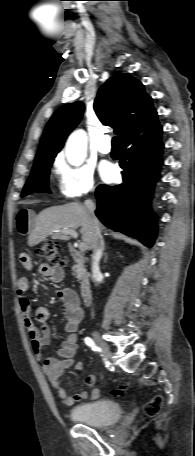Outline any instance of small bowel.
Returning <instances> with one entry per match:
<instances>
[{"label": "small bowel", "mask_w": 195, "mask_h": 456, "mask_svg": "<svg viewBox=\"0 0 195 456\" xmlns=\"http://www.w3.org/2000/svg\"><path fill=\"white\" fill-rule=\"evenodd\" d=\"M32 214L29 210H21L16 219L17 229L21 234H28L31 227ZM21 265L28 271L36 270L40 275L47 277L55 283H59L64 278L62 266H52L46 263L34 265L32 258L27 253L19 256ZM30 289V281L27 277H21L17 281V293L19 304L23 315L24 325L31 341L32 350L38 359L42 358V349L51 341V328L47 323L48 310L45 307L33 308L30 300L25 296ZM57 297L62 303V310L66 319L65 331L66 339L61 343L58 350V357H49L42 360L41 366L47 376L51 387L57 392L59 399L66 406L84 400H95L99 398V390L93 389L90 393L82 391L69 395L61 384L60 377L66 369L74 365V357L78 350L77 331L83 319V310L77 293L70 288L57 291ZM35 321L41 323L38 327ZM80 370L82 365L76 364ZM96 383L95 375H87L85 384L94 386Z\"/></svg>", "instance_id": "small-bowel-1"}]
</instances>
